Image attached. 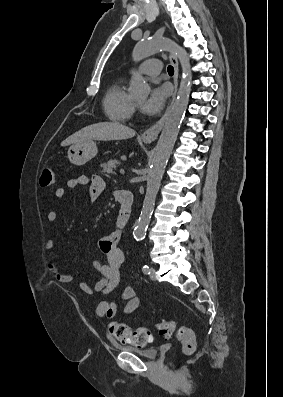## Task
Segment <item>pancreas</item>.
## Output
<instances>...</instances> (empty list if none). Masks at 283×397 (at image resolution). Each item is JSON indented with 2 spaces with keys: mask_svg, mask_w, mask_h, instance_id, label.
Instances as JSON below:
<instances>
[{
  "mask_svg": "<svg viewBox=\"0 0 283 397\" xmlns=\"http://www.w3.org/2000/svg\"><path fill=\"white\" fill-rule=\"evenodd\" d=\"M120 165V162L116 159H109L106 163H102L101 167L103 171L107 174H114L117 166Z\"/></svg>",
  "mask_w": 283,
  "mask_h": 397,
  "instance_id": "obj_1",
  "label": "pancreas"
}]
</instances>
